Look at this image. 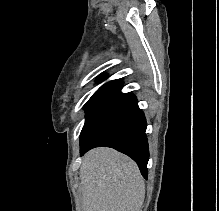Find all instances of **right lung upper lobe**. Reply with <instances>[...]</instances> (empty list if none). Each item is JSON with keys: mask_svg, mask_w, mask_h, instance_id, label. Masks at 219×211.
<instances>
[{"mask_svg": "<svg viewBox=\"0 0 219 211\" xmlns=\"http://www.w3.org/2000/svg\"><path fill=\"white\" fill-rule=\"evenodd\" d=\"M121 82H122V79H116V80L110 81V82L104 84L103 86H101L96 92H99V91L110 92L115 87H117Z\"/></svg>", "mask_w": 219, "mask_h": 211, "instance_id": "right-lung-upper-lobe-1", "label": "right lung upper lobe"}]
</instances>
